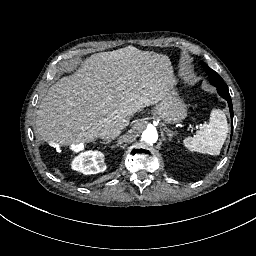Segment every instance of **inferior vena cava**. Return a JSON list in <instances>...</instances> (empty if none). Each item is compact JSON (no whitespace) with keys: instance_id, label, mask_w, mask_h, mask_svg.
Returning a JSON list of instances; mask_svg holds the SVG:
<instances>
[{"instance_id":"602c4592","label":"inferior vena cava","mask_w":256,"mask_h":256,"mask_svg":"<svg viewBox=\"0 0 256 256\" xmlns=\"http://www.w3.org/2000/svg\"><path fill=\"white\" fill-rule=\"evenodd\" d=\"M121 133L120 129H111L109 131H104L101 133L100 138L102 139H114Z\"/></svg>"}]
</instances>
